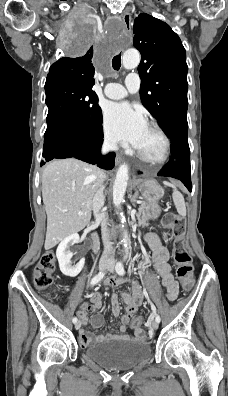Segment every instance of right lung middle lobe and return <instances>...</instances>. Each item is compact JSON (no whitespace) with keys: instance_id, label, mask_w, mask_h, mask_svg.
I'll list each match as a JSON object with an SVG mask.
<instances>
[{"instance_id":"right-lung-middle-lobe-1","label":"right lung middle lobe","mask_w":228,"mask_h":396,"mask_svg":"<svg viewBox=\"0 0 228 396\" xmlns=\"http://www.w3.org/2000/svg\"><path fill=\"white\" fill-rule=\"evenodd\" d=\"M93 33L79 29L73 45L75 53L84 52L93 42ZM47 129L66 126L77 131H93L100 125L102 112L96 93L79 81L72 79H46Z\"/></svg>"}]
</instances>
